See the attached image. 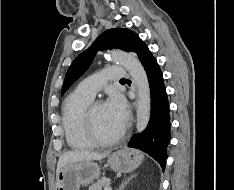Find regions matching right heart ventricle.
Listing matches in <instances>:
<instances>
[{"label": "right heart ventricle", "mask_w": 234, "mask_h": 190, "mask_svg": "<svg viewBox=\"0 0 234 190\" xmlns=\"http://www.w3.org/2000/svg\"><path fill=\"white\" fill-rule=\"evenodd\" d=\"M93 98L77 91L69 94L62 109V124L69 146L74 149H90L94 142L87 134L84 112Z\"/></svg>", "instance_id": "e07e8e85"}]
</instances>
